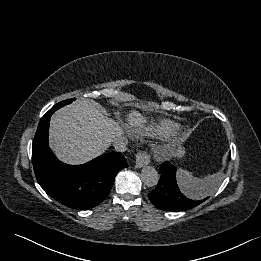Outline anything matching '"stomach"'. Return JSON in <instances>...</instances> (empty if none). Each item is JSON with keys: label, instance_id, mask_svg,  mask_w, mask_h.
I'll return each mask as SVG.
<instances>
[{"label": "stomach", "instance_id": "0dacf381", "mask_svg": "<svg viewBox=\"0 0 261 261\" xmlns=\"http://www.w3.org/2000/svg\"><path fill=\"white\" fill-rule=\"evenodd\" d=\"M185 154V150L182 146H178L176 150H174L173 155L175 157L181 158Z\"/></svg>", "mask_w": 261, "mask_h": 261}]
</instances>
